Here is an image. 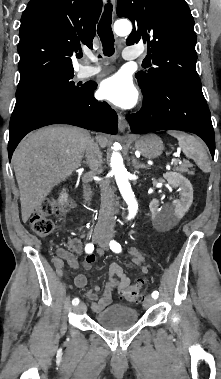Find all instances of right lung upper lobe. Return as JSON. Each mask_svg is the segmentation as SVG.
<instances>
[{"label": "right lung upper lobe", "instance_id": "1", "mask_svg": "<svg viewBox=\"0 0 221 379\" xmlns=\"http://www.w3.org/2000/svg\"><path fill=\"white\" fill-rule=\"evenodd\" d=\"M102 0H30L21 17L20 81L41 73L73 70L71 56L92 48Z\"/></svg>", "mask_w": 221, "mask_h": 379}]
</instances>
